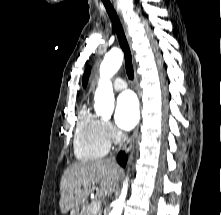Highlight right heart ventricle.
<instances>
[{
  "label": "right heart ventricle",
  "mask_w": 221,
  "mask_h": 215,
  "mask_svg": "<svg viewBox=\"0 0 221 215\" xmlns=\"http://www.w3.org/2000/svg\"><path fill=\"white\" fill-rule=\"evenodd\" d=\"M74 154L81 161L97 160L108 152V142L102 133V121L87 106H83L73 140Z\"/></svg>",
  "instance_id": "obj_1"
}]
</instances>
